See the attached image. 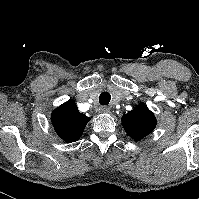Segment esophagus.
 Instances as JSON below:
<instances>
[{
	"label": "esophagus",
	"mask_w": 199,
	"mask_h": 199,
	"mask_svg": "<svg viewBox=\"0 0 199 199\" xmlns=\"http://www.w3.org/2000/svg\"><path fill=\"white\" fill-rule=\"evenodd\" d=\"M100 110L102 113H110V108L108 106H102Z\"/></svg>",
	"instance_id": "esophagus-1"
}]
</instances>
